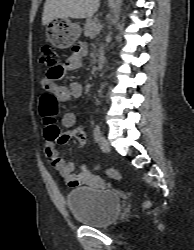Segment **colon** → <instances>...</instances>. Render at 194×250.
Listing matches in <instances>:
<instances>
[{
    "mask_svg": "<svg viewBox=\"0 0 194 250\" xmlns=\"http://www.w3.org/2000/svg\"><path fill=\"white\" fill-rule=\"evenodd\" d=\"M40 62L48 66L50 68L49 76L52 79H57L61 77V69L59 65V57L55 50V48L51 45H43L41 47V53H40ZM40 112L42 115H47L54 117L57 114V100L55 96L47 92L41 96L40 100ZM70 138L76 139L79 143L83 144L82 136L83 131L82 130H75L69 133ZM107 175L115 180H118L120 178L119 172L114 168H109L106 170ZM149 205V202H146V206Z\"/></svg>",
    "mask_w": 194,
    "mask_h": 250,
    "instance_id": "5ec220e1",
    "label": "colon"
}]
</instances>
